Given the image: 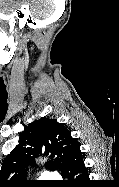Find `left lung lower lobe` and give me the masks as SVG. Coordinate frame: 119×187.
<instances>
[{"label":"left lung lower lobe","instance_id":"obj_1","mask_svg":"<svg viewBox=\"0 0 119 187\" xmlns=\"http://www.w3.org/2000/svg\"><path fill=\"white\" fill-rule=\"evenodd\" d=\"M64 175L72 178V182H85L89 178L79 144L75 145L71 151Z\"/></svg>","mask_w":119,"mask_h":187}]
</instances>
